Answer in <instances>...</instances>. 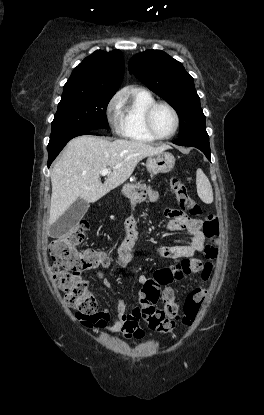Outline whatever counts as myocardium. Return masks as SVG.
Returning <instances> with one entry per match:
<instances>
[{
    "label": "myocardium",
    "mask_w": 264,
    "mask_h": 415,
    "mask_svg": "<svg viewBox=\"0 0 264 415\" xmlns=\"http://www.w3.org/2000/svg\"><path fill=\"white\" fill-rule=\"evenodd\" d=\"M160 106H164L168 108L172 112L174 119H175V125H174L172 132L165 136L159 135L155 131L154 126H153L152 118H153L154 111ZM144 124H145V128L147 132L155 140H167V139L172 138L177 133L179 126H180V117H179L177 110L171 104L164 102V101H155L154 103L149 105L144 112Z\"/></svg>",
    "instance_id": "myocardium-1"
}]
</instances>
